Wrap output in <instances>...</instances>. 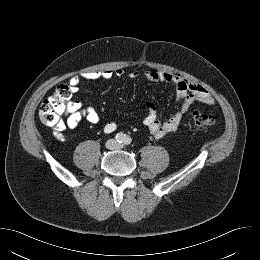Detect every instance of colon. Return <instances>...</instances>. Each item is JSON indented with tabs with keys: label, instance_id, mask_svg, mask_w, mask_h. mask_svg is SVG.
I'll list each match as a JSON object with an SVG mask.
<instances>
[{
	"label": "colon",
	"instance_id": "colon-1",
	"mask_svg": "<svg viewBox=\"0 0 260 260\" xmlns=\"http://www.w3.org/2000/svg\"><path fill=\"white\" fill-rule=\"evenodd\" d=\"M72 92L66 85H60L39 107L38 115L43 124L55 127L62 124V117L67 113ZM192 124L196 129H209L215 124V117L211 114L194 112Z\"/></svg>",
	"mask_w": 260,
	"mask_h": 260
}]
</instances>
